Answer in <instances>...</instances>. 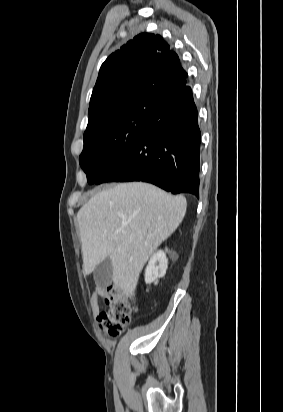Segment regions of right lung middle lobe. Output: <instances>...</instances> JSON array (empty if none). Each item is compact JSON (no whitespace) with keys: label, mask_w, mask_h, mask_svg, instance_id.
I'll return each mask as SVG.
<instances>
[{"label":"right lung middle lobe","mask_w":283,"mask_h":412,"mask_svg":"<svg viewBox=\"0 0 283 412\" xmlns=\"http://www.w3.org/2000/svg\"><path fill=\"white\" fill-rule=\"evenodd\" d=\"M161 103H141L112 114L84 133L79 162L89 184L114 165L161 111Z\"/></svg>","instance_id":"dd1d6c3e"}]
</instances>
